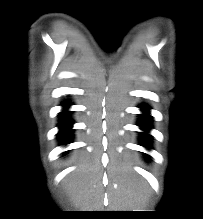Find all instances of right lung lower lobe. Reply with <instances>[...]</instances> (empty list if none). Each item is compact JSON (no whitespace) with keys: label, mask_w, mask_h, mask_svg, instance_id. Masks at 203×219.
I'll return each mask as SVG.
<instances>
[{"label":"right lung lower lobe","mask_w":203,"mask_h":219,"mask_svg":"<svg viewBox=\"0 0 203 219\" xmlns=\"http://www.w3.org/2000/svg\"><path fill=\"white\" fill-rule=\"evenodd\" d=\"M70 103H63V106H68ZM69 111H63L60 113V132L57 134L58 139L62 142V144H68L71 141L72 138V132L71 126L73 122L69 119Z\"/></svg>","instance_id":"1"}]
</instances>
